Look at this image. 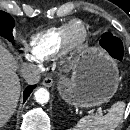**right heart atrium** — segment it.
<instances>
[{
    "label": "right heart atrium",
    "mask_w": 130,
    "mask_h": 130,
    "mask_svg": "<svg viewBox=\"0 0 130 130\" xmlns=\"http://www.w3.org/2000/svg\"><path fill=\"white\" fill-rule=\"evenodd\" d=\"M26 59H27V60H29V61H35V59H34V58H32V57H31V56H29V55H27V56H26Z\"/></svg>",
    "instance_id": "obj_1"
}]
</instances>
